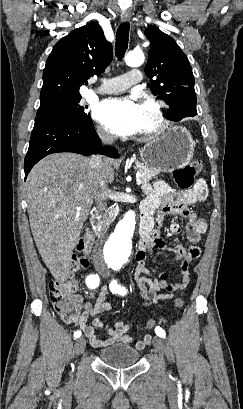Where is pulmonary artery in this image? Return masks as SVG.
Masks as SVG:
<instances>
[{"label": "pulmonary artery", "instance_id": "e3ab8cb5", "mask_svg": "<svg viewBox=\"0 0 243 409\" xmlns=\"http://www.w3.org/2000/svg\"><path fill=\"white\" fill-rule=\"evenodd\" d=\"M140 80L141 72L137 69H133L123 75L104 80L103 84L96 89V92L100 94L120 93L138 83Z\"/></svg>", "mask_w": 243, "mask_h": 409}]
</instances>
